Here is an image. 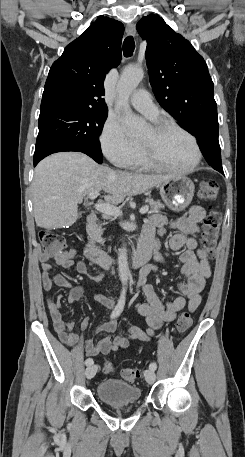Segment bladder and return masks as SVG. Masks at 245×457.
I'll return each instance as SVG.
<instances>
[{"mask_svg":"<svg viewBox=\"0 0 245 457\" xmlns=\"http://www.w3.org/2000/svg\"><path fill=\"white\" fill-rule=\"evenodd\" d=\"M96 395L108 405L138 402L142 396L141 390L122 380H102Z\"/></svg>","mask_w":245,"mask_h":457,"instance_id":"31cf9c89","label":"bladder"}]
</instances>
